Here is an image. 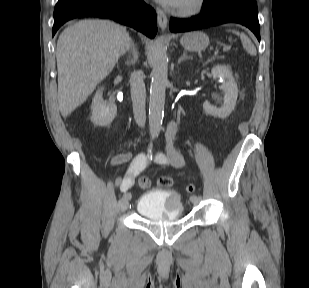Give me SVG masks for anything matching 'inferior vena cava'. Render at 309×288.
<instances>
[{
	"instance_id": "1",
	"label": "inferior vena cava",
	"mask_w": 309,
	"mask_h": 288,
	"mask_svg": "<svg viewBox=\"0 0 309 288\" xmlns=\"http://www.w3.org/2000/svg\"><path fill=\"white\" fill-rule=\"evenodd\" d=\"M131 41L128 38L121 46V54L129 50ZM131 98L133 102L134 118L138 126L144 127L146 122V89L140 72L134 71L130 77Z\"/></svg>"
}]
</instances>
